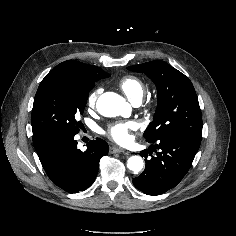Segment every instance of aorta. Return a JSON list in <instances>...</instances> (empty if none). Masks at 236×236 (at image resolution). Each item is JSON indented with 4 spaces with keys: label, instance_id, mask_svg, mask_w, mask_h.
I'll return each instance as SVG.
<instances>
[{
    "label": "aorta",
    "instance_id": "1",
    "mask_svg": "<svg viewBox=\"0 0 236 236\" xmlns=\"http://www.w3.org/2000/svg\"><path fill=\"white\" fill-rule=\"evenodd\" d=\"M98 112L106 117H116L129 110V105L123 97L113 92L102 94L97 101ZM144 166L143 159L140 156H131L127 161V167L137 173Z\"/></svg>",
    "mask_w": 236,
    "mask_h": 236
}]
</instances>
